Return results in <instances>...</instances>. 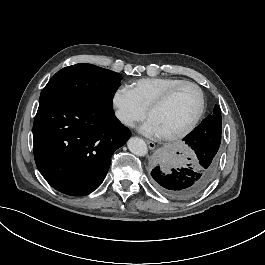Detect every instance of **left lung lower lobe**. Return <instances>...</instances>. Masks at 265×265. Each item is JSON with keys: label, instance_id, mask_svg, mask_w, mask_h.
I'll return each mask as SVG.
<instances>
[{"label": "left lung lower lobe", "instance_id": "1", "mask_svg": "<svg viewBox=\"0 0 265 265\" xmlns=\"http://www.w3.org/2000/svg\"><path fill=\"white\" fill-rule=\"evenodd\" d=\"M197 156L192 167L167 169L156 166L150 182L162 195L175 200H189L203 192L214 179L218 168V150L221 136L206 135L195 128L184 138Z\"/></svg>", "mask_w": 265, "mask_h": 265}]
</instances>
